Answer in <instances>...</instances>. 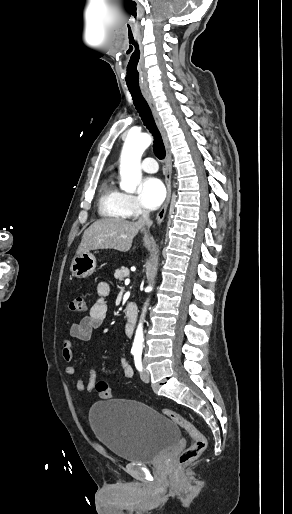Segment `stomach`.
Segmentation results:
<instances>
[{"mask_svg": "<svg viewBox=\"0 0 292 514\" xmlns=\"http://www.w3.org/2000/svg\"><path fill=\"white\" fill-rule=\"evenodd\" d=\"M96 268V258L90 252H83V254H76L72 260L70 270L72 276L75 278H88Z\"/></svg>", "mask_w": 292, "mask_h": 514, "instance_id": "0dacf381", "label": "stomach"}]
</instances>
